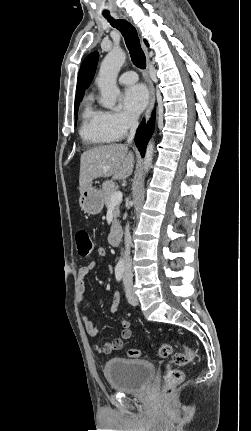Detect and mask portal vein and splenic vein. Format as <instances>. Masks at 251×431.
Wrapping results in <instances>:
<instances>
[{
	"mask_svg": "<svg viewBox=\"0 0 251 431\" xmlns=\"http://www.w3.org/2000/svg\"><path fill=\"white\" fill-rule=\"evenodd\" d=\"M122 198H123V194L121 191L114 192L110 198L111 205H118L119 203H121Z\"/></svg>",
	"mask_w": 251,
	"mask_h": 431,
	"instance_id": "portal-vein-and-splenic-vein-1",
	"label": "portal vein and splenic vein"
}]
</instances>
